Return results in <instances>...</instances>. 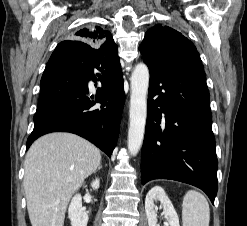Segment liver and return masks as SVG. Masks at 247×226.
I'll return each instance as SVG.
<instances>
[{
  "label": "liver",
  "mask_w": 247,
  "mask_h": 226,
  "mask_svg": "<svg viewBox=\"0 0 247 226\" xmlns=\"http://www.w3.org/2000/svg\"><path fill=\"white\" fill-rule=\"evenodd\" d=\"M100 162L99 149L77 135L51 133L37 139L24 163L31 225L63 226L70 198Z\"/></svg>",
  "instance_id": "obj_1"
}]
</instances>
